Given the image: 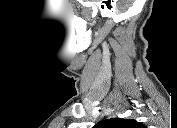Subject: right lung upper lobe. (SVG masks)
Returning <instances> with one entry per match:
<instances>
[{
    "instance_id": "obj_1",
    "label": "right lung upper lobe",
    "mask_w": 177,
    "mask_h": 128,
    "mask_svg": "<svg viewBox=\"0 0 177 128\" xmlns=\"http://www.w3.org/2000/svg\"><path fill=\"white\" fill-rule=\"evenodd\" d=\"M98 128H144V125L134 119L111 118L102 121Z\"/></svg>"
}]
</instances>
